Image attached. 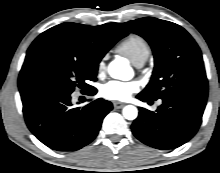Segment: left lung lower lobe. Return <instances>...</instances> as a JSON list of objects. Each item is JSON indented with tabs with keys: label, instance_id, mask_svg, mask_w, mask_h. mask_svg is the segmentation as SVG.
I'll return each mask as SVG.
<instances>
[{
	"label": "left lung lower lobe",
	"instance_id": "left-lung-lower-lobe-1",
	"mask_svg": "<svg viewBox=\"0 0 220 173\" xmlns=\"http://www.w3.org/2000/svg\"><path fill=\"white\" fill-rule=\"evenodd\" d=\"M137 98L146 102L149 98L138 94ZM156 112L140 108L139 116L131 129L137 139L144 144L169 150L189 141L197 132L206 106V100L175 96L162 99Z\"/></svg>",
	"mask_w": 220,
	"mask_h": 173
}]
</instances>
